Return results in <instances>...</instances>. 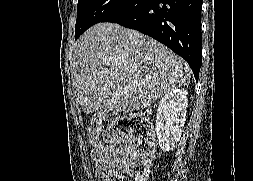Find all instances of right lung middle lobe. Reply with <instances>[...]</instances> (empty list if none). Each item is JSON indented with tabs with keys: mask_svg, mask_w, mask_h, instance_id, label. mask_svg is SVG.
Returning a JSON list of instances; mask_svg holds the SVG:
<instances>
[{
	"mask_svg": "<svg viewBox=\"0 0 253 181\" xmlns=\"http://www.w3.org/2000/svg\"><path fill=\"white\" fill-rule=\"evenodd\" d=\"M128 0H79L75 39L92 25L102 22Z\"/></svg>",
	"mask_w": 253,
	"mask_h": 181,
	"instance_id": "obj_1",
	"label": "right lung middle lobe"
}]
</instances>
